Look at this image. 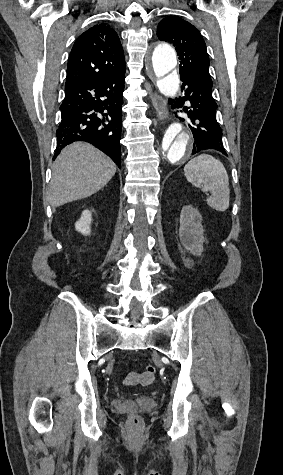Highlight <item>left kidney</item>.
<instances>
[{"label": "left kidney", "instance_id": "5707ae66", "mask_svg": "<svg viewBox=\"0 0 283 475\" xmlns=\"http://www.w3.org/2000/svg\"><path fill=\"white\" fill-rule=\"evenodd\" d=\"M204 232L202 216L199 214L197 208L184 206L180 214L179 238L189 253L201 255L205 241L203 236Z\"/></svg>", "mask_w": 283, "mask_h": 475}]
</instances>
